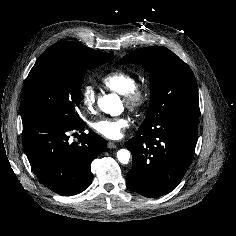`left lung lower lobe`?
Listing matches in <instances>:
<instances>
[{
	"mask_svg": "<svg viewBox=\"0 0 236 236\" xmlns=\"http://www.w3.org/2000/svg\"><path fill=\"white\" fill-rule=\"evenodd\" d=\"M198 119L172 116L148 127L126 142L132 153L127 183L145 197H158L173 190L185 175L194 156Z\"/></svg>",
	"mask_w": 236,
	"mask_h": 236,
	"instance_id": "obj_1",
	"label": "left lung lower lobe"
}]
</instances>
